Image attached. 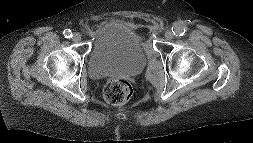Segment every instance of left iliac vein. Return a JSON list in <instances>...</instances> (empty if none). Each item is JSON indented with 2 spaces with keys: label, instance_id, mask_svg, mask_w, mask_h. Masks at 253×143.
Listing matches in <instances>:
<instances>
[{
  "label": "left iliac vein",
  "instance_id": "4c4485c4",
  "mask_svg": "<svg viewBox=\"0 0 253 143\" xmlns=\"http://www.w3.org/2000/svg\"><path fill=\"white\" fill-rule=\"evenodd\" d=\"M165 38H166V40L171 41V40L174 38V33H173V31L167 30V31L165 32Z\"/></svg>",
  "mask_w": 253,
  "mask_h": 143
}]
</instances>
